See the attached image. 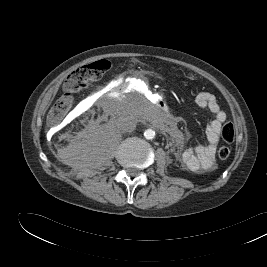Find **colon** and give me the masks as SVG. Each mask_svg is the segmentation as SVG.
I'll return each instance as SVG.
<instances>
[{
	"label": "colon",
	"instance_id": "colon-1",
	"mask_svg": "<svg viewBox=\"0 0 267 267\" xmlns=\"http://www.w3.org/2000/svg\"><path fill=\"white\" fill-rule=\"evenodd\" d=\"M110 67L106 60H100L88 65L78 67L71 72L64 82V92L55 102L49 113V121L52 124L59 123L69 112L73 105L74 93L80 91L88 84L97 81ZM222 138L226 142H232L235 138V128L232 123H226L222 128ZM231 150L228 146H221L218 150L220 159H227Z\"/></svg>",
	"mask_w": 267,
	"mask_h": 267
}]
</instances>
